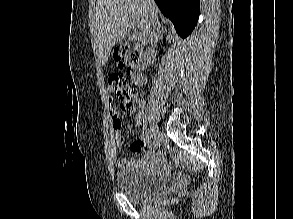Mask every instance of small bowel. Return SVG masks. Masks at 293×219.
Returning a JSON list of instances; mask_svg holds the SVG:
<instances>
[{"mask_svg":"<svg viewBox=\"0 0 293 219\" xmlns=\"http://www.w3.org/2000/svg\"><path fill=\"white\" fill-rule=\"evenodd\" d=\"M136 105H137V114L135 118V126H139L140 123L142 122L143 116H144V111H145V102L140 99L136 98L135 99ZM110 115L112 119V126L113 129L116 133V138H117V146L119 148H122L125 142V137L124 135L121 134L120 129H121V120L119 118V114L117 110L112 106L110 107ZM148 147V138L146 135H141L132 145H131V151L133 153H141L145 151ZM135 162L128 159V158H122L119 161V166H126V165H131L134 164Z\"/></svg>","mask_w":293,"mask_h":219,"instance_id":"c3829d8e","label":"small bowel"}]
</instances>
